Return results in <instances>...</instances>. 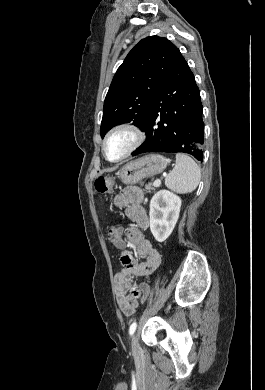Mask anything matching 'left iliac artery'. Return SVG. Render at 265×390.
I'll return each instance as SVG.
<instances>
[{
	"label": "left iliac artery",
	"instance_id": "44dca946",
	"mask_svg": "<svg viewBox=\"0 0 265 390\" xmlns=\"http://www.w3.org/2000/svg\"><path fill=\"white\" fill-rule=\"evenodd\" d=\"M136 327H137V323L136 322H133L131 325H130V328H129V334L130 335H133L135 330H136Z\"/></svg>",
	"mask_w": 265,
	"mask_h": 390
}]
</instances>
